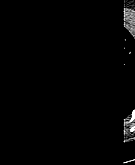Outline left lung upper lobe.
Masks as SVG:
<instances>
[{
    "label": "left lung upper lobe",
    "instance_id": "1",
    "mask_svg": "<svg viewBox=\"0 0 135 165\" xmlns=\"http://www.w3.org/2000/svg\"><path fill=\"white\" fill-rule=\"evenodd\" d=\"M97 23L105 39V56L93 77L103 88L122 93L135 103V40L123 24L107 17Z\"/></svg>",
    "mask_w": 135,
    "mask_h": 165
}]
</instances>
